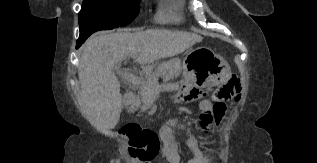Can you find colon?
Wrapping results in <instances>:
<instances>
[{
	"instance_id": "colon-1",
	"label": "colon",
	"mask_w": 317,
	"mask_h": 163,
	"mask_svg": "<svg viewBox=\"0 0 317 163\" xmlns=\"http://www.w3.org/2000/svg\"><path fill=\"white\" fill-rule=\"evenodd\" d=\"M241 95V85L236 76H232L214 92L215 103L203 102L200 105V123L204 129L216 124L225 111V102L238 101ZM185 97L182 101H187ZM129 139L131 154L141 163H150L159 153L160 139L158 134L150 129L141 128L136 124L126 126L122 131Z\"/></svg>"
}]
</instances>
